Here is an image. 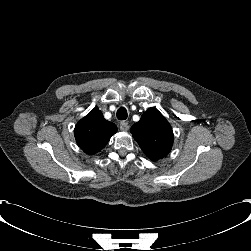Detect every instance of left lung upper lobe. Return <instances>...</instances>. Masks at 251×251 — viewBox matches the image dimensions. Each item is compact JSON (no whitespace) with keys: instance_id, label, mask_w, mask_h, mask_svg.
Segmentation results:
<instances>
[{"instance_id":"obj_1","label":"left lung upper lobe","mask_w":251,"mask_h":251,"mask_svg":"<svg viewBox=\"0 0 251 251\" xmlns=\"http://www.w3.org/2000/svg\"><path fill=\"white\" fill-rule=\"evenodd\" d=\"M130 131L142 151L152 161L165 157L171 151L174 139L172 128L155 108H149Z\"/></svg>"}]
</instances>
